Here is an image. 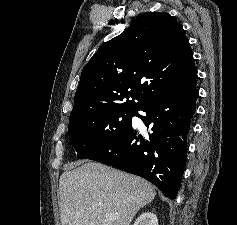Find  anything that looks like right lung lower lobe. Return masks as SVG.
<instances>
[{"label": "right lung lower lobe", "mask_w": 237, "mask_h": 225, "mask_svg": "<svg viewBox=\"0 0 237 225\" xmlns=\"http://www.w3.org/2000/svg\"><path fill=\"white\" fill-rule=\"evenodd\" d=\"M198 94L196 84L159 91L137 109L145 115L135 112L150 130L146 136L131 124L108 146L87 159L138 175L157 186L165 196L176 198L186 164V137Z\"/></svg>", "instance_id": "right-lung-lower-lobe-1"}]
</instances>
